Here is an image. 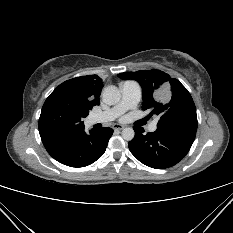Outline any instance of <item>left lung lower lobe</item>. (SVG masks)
Returning a JSON list of instances; mask_svg holds the SVG:
<instances>
[{
  "mask_svg": "<svg viewBox=\"0 0 233 233\" xmlns=\"http://www.w3.org/2000/svg\"><path fill=\"white\" fill-rule=\"evenodd\" d=\"M135 138L129 142L131 153L143 164L164 169L181 161L190 150L196 133L156 130L144 133L142 127H133Z\"/></svg>",
  "mask_w": 233,
  "mask_h": 233,
  "instance_id": "left-lung-lower-lobe-1",
  "label": "left lung lower lobe"
}]
</instances>
